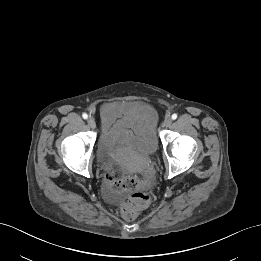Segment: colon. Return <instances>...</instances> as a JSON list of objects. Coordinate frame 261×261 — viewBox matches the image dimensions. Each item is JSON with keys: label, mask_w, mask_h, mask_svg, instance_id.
<instances>
[{"label": "colon", "mask_w": 261, "mask_h": 261, "mask_svg": "<svg viewBox=\"0 0 261 261\" xmlns=\"http://www.w3.org/2000/svg\"><path fill=\"white\" fill-rule=\"evenodd\" d=\"M105 183L114 194L129 193L120 206L121 214L126 219L135 218L150 202L149 195L143 192L148 184L146 177L117 176L113 172H108L105 175Z\"/></svg>", "instance_id": "5ec220e1"}]
</instances>
